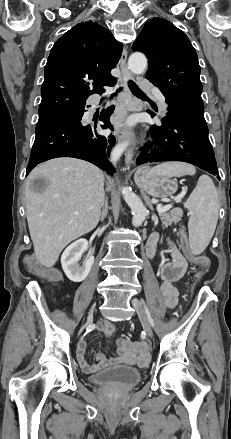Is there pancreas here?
I'll list each match as a JSON object with an SVG mask.
<instances>
[{
	"instance_id": "1",
	"label": "pancreas",
	"mask_w": 231,
	"mask_h": 439,
	"mask_svg": "<svg viewBox=\"0 0 231 439\" xmlns=\"http://www.w3.org/2000/svg\"><path fill=\"white\" fill-rule=\"evenodd\" d=\"M162 225L163 226H170L173 223L176 224L178 222H180L181 217H182V212L180 209H173L170 212H164L159 214Z\"/></svg>"
}]
</instances>
